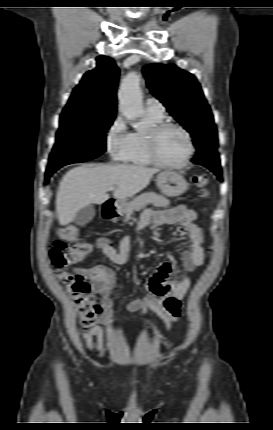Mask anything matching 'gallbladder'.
<instances>
[{"mask_svg": "<svg viewBox=\"0 0 273 430\" xmlns=\"http://www.w3.org/2000/svg\"><path fill=\"white\" fill-rule=\"evenodd\" d=\"M94 216H95L94 206L93 205H88V206L80 209L77 212V214H76V216L74 218V222L77 225L84 226L87 223H89L93 219Z\"/></svg>", "mask_w": 273, "mask_h": 430, "instance_id": "obj_1", "label": "gallbladder"}]
</instances>
